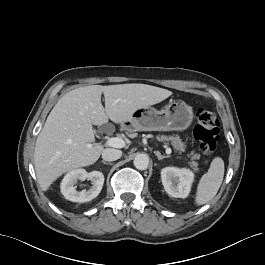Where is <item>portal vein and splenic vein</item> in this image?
<instances>
[{
    "mask_svg": "<svg viewBox=\"0 0 265 265\" xmlns=\"http://www.w3.org/2000/svg\"><path fill=\"white\" fill-rule=\"evenodd\" d=\"M106 144L110 147H114V148H123L125 147V141L122 138L119 137H111L108 138ZM166 153L170 154L171 153V149L170 148H166Z\"/></svg>",
    "mask_w": 265,
    "mask_h": 265,
    "instance_id": "obj_1",
    "label": "portal vein and splenic vein"
}]
</instances>
